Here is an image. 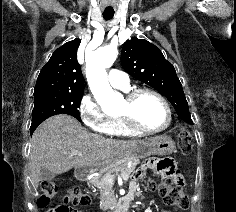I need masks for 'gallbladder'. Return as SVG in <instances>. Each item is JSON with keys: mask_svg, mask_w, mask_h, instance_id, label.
I'll use <instances>...</instances> for the list:
<instances>
[{"mask_svg": "<svg viewBox=\"0 0 236 212\" xmlns=\"http://www.w3.org/2000/svg\"><path fill=\"white\" fill-rule=\"evenodd\" d=\"M55 177V174L48 169L42 168L39 173V180L46 181L52 180Z\"/></svg>", "mask_w": 236, "mask_h": 212, "instance_id": "obj_1", "label": "gallbladder"}]
</instances>
